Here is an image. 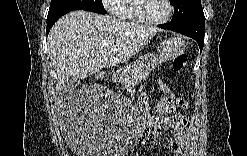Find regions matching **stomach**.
<instances>
[{
    "mask_svg": "<svg viewBox=\"0 0 247 156\" xmlns=\"http://www.w3.org/2000/svg\"><path fill=\"white\" fill-rule=\"evenodd\" d=\"M186 49L185 41L180 37H170L160 44L157 54H147L139 62L154 70L162 65L165 61H169L182 54Z\"/></svg>",
    "mask_w": 247,
    "mask_h": 156,
    "instance_id": "0dacf381",
    "label": "stomach"
}]
</instances>
